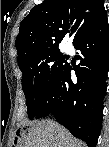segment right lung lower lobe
Here are the masks:
<instances>
[{
	"label": "right lung lower lobe",
	"mask_w": 109,
	"mask_h": 147,
	"mask_svg": "<svg viewBox=\"0 0 109 147\" xmlns=\"http://www.w3.org/2000/svg\"><path fill=\"white\" fill-rule=\"evenodd\" d=\"M81 60L73 70L66 63L50 89L36 118L49 114L65 126L73 136L95 147L101 131L105 78L109 69V26L103 17L75 43Z\"/></svg>",
	"instance_id": "right-lung-lower-lobe-1"
}]
</instances>
